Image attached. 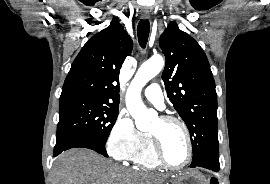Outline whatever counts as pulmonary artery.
<instances>
[{"instance_id":"1","label":"pulmonary artery","mask_w":270,"mask_h":184,"mask_svg":"<svg viewBox=\"0 0 270 184\" xmlns=\"http://www.w3.org/2000/svg\"><path fill=\"white\" fill-rule=\"evenodd\" d=\"M144 95L152 104H154L158 108H164V98L161 88L158 84L153 83L146 87L144 90Z\"/></svg>"}]
</instances>
